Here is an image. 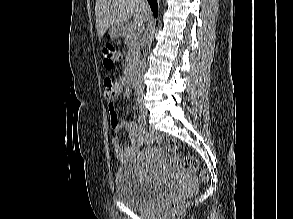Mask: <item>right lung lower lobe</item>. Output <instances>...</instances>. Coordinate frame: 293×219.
<instances>
[{
  "label": "right lung lower lobe",
  "instance_id": "1",
  "mask_svg": "<svg viewBox=\"0 0 293 219\" xmlns=\"http://www.w3.org/2000/svg\"><path fill=\"white\" fill-rule=\"evenodd\" d=\"M150 4V7L154 13V16L157 17L158 15V10H157V2L156 0H147Z\"/></svg>",
  "mask_w": 293,
  "mask_h": 219
}]
</instances>
